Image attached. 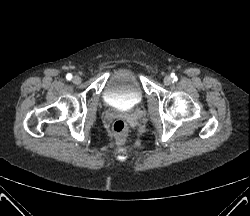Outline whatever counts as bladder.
I'll list each match as a JSON object with an SVG mask.
<instances>
[{
    "label": "bladder",
    "mask_w": 250,
    "mask_h": 216,
    "mask_svg": "<svg viewBox=\"0 0 250 216\" xmlns=\"http://www.w3.org/2000/svg\"><path fill=\"white\" fill-rule=\"evenodd\" d=\"M144 92L136 72L122 67L109 78L103 92L104 101L117 109H131L143 100Z\"/></svg>",
    "instance_id": "1"
}]
</instances>
